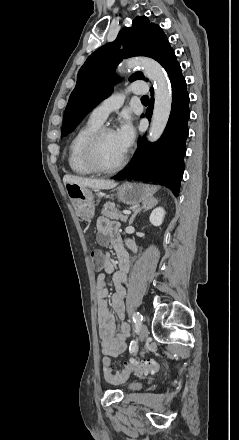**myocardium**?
<instances>
[{"label":"myocardium","instance_id":"f54148a6","mask_svg":"<svg viewBox=\"0 0 239 440\" xmlns=\"http://www.w3.org/2000/svg\"><path fill=\"white\" fill-rule=\"evenodd\" d=\"M109 132H114L112 127L109 126H101L95 132H93L90 137L87 139L84 145V159L87 165L95 172L101 174H112L118 172L123 166L126 164L129 153L125 152V154L119 159L117 164L113 167H105L103 166L97 155L98 146L102 137Z\"/></svg>","mask_w":239,"mask_h":440}]
</instances>
